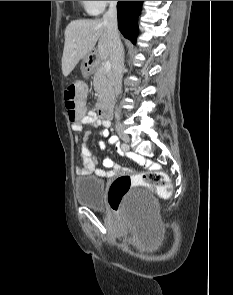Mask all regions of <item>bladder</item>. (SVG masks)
Wrapping results in <instances>:
<instances>
[{"label":"bladder","instance_id":"1","mask_svg":"<svg viewBox=\"0 0 233 295\" xmlns=\"http://www.w3.org/2000/svg\"><path fill=\"white\" fill-rule=\"evenodd\" d=\"M76 198L79 204L93 210L105 209V183L93 176H79L75 180ZM125 213L132 214L141 221H153L159 212L156 197L148 190L141 189L125 207Z\"/></svg>","mask_w":233,"mask_h":295}]
</instances>
